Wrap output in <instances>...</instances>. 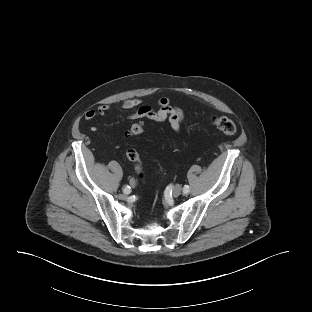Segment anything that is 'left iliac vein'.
Segmentation results:
<instances>
[{"label": "left iliac vein", "mask_w": 312, "mask_h": 312, "mask_svg": "<svg viewBox=\"0 0 312 312\" xmlns=\"http://www.w3.org/2000/svg\"><path fill=\"white\" fill-rule=\"evenodd\" d=\"M181 191H182L181 187L179 185H176L173 188V196L178 197L181 194Z\"/></svg>", "instance_id": "obj_1"}]
</instances>
